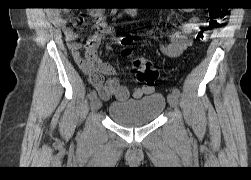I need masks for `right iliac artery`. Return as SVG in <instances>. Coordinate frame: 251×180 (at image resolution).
Here are the masks:
<instances>
[{"instance_id": "obj_1", "label": "right iliac artery", "mask_w": 251, "mask_h": 180, "mask_svg": "<svg viewBox=\"0 0 251 180\" xmlns=\"http://www.w3.org/2000/svg\"><path fill=\"white\" fill-rule=\"evenodd\" d=\"M88 97L90 100H93L94 98L97 97L96 91L92 90L89 94Z\"/></svg>"}]
</instances>
